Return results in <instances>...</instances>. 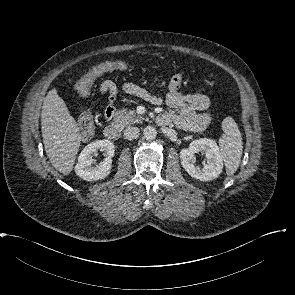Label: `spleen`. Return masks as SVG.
<instances>
[{"instance_id": "obj_1", "label": "spleen", "mask_w": 295, "mask_h": 295, "mask_svg": "<svg viewBox=\"0 0 295 295\" xmlns=\"http://www.w3.org/2000/svg\"><path fill=\"white\" fill-rule=\"evenodd\" d=\"M223 137L219 140V152L228 176L233 175L241 162L243 143L235 120L228 116L222 121Z\"/></svg>"}]
</instances>
